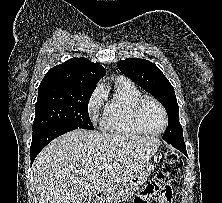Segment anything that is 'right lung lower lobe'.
Masks as SVG:
<instances>
[{
    "mask_svg": "<svg viewBox=\"0 0 222 203\" xmlns=\"http://www.w3.org/2000/svg\"><path fill=\"white\" fill-rule=\"evenodd\" d=\"M79 127L74 125H52L44 128H40L36 131H33L32 143L30 148L31 154V164L34 162V159L38 153L53 139L58 136L77 129Z\"/></svg>",
    "mask_w": 222,
    "mask_h": 203,
    "instance_id": "1",
    "label": "right lung lower lobe"
}]
</instances>
